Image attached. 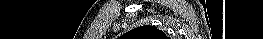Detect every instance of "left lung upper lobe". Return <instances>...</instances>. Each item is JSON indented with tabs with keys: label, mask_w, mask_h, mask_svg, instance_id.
<instances>
[{
	"label": "left lung upper lobe",
	"mask_w": 263,
	"mask_h": 39,
	"mask_svg": "<svg viewBox=\"0 0 263 39\" xmlns=\"http://www.w3.org/2000/svg\"><path fill=\"white\" fill-rule=\"evenodd\" d=\"M122 39H169L166 34L154 26H140L124 35Z\"/></svg>",
	"instance_id": "left-lung-upper-lobe-1"
}]
</instances>
